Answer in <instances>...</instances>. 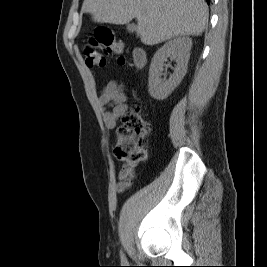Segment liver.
<instances>
[{
  "label": "liver",
  "instance_id": "1",
  "mask_svg": "<svg viewBox=\"0 0 267 267\" xmlns=\"http://www.w3.org/2000/svg\"><path fill=\"white\" fill-rule=\"evenodd\" d=\"M82 12L97 23L137 20V37L155 45L177 36H199L208 21L204 0H84Z\"/></svg>",
  "mask_w": 267,
  "mask_h": 267
}]
</instances>
